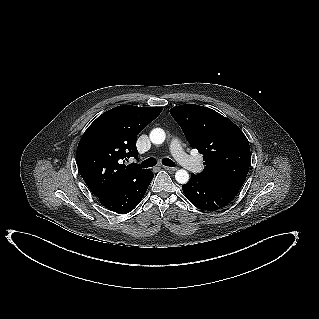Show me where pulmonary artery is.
Returning a JSON list of instances; mask_svg holds the SVG:
<instances>
[{"instance_id": "pulmonary-artery-1", "label": "pulmonary artery", "mask_w": 319, "mask_h": 319, "mask_svg": "<svg viewBox=\"0 0 319 319\" xmlns=\"http://www.w3.org/2000/svg\"><path fill=\"white\" fill-rule=\"evenodd\" d=\"M170 151L175 159L186 169L195 173L202 170L201 162L198 159L186 154L182 149L181 143L178 139L171 141Z\"/></svg>"}]
</instances>
